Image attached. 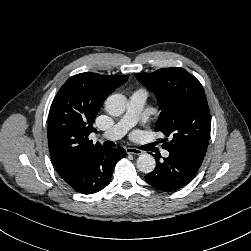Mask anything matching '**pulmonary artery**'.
<instances>
[{
    "mask_svg": "<svg viewBox=\"0 0 251 251\" xmlns=\"http://www.w3.org/2000/svg\"><path fill=\"white\" fill-rule=\"evenodd\" d=\"M147 99V92L143 89L137 90L131 94L128 101V107L125 115L107 132L103 137L110 140H118L122 138L128 129L133 126L139 119L142 109ZM164 157L169 156V152H162Z\"/></svg>",
    "mask_w": 251,
    "mask_h": 251,
    "instance_id": "e3ab8cb5",
    "label": "pulmonary artery"
}]
</instances>
